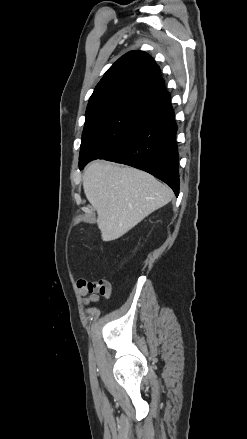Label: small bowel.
Masks as SVG:
<instances>
[{"label":"small bowel","mask_w":247,"mask_h":439,"mask_svg":"<svg viewBox=\"0 0 247 439\" xmlns=\"http://www.w3.org/2000/svg\"><path fill=\"white\" fill-rule=\"evenodd\" d=\"M78 290L83 296V303L91 306L100 300V297L109 298L112 293V285L106 280L91 281L81 279L78 281Z\"/></svg>","instance_id":"small-bowel-1"}]
</instances>
